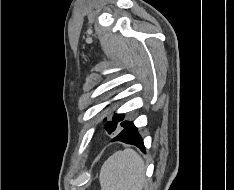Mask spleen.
<instances>
[{
    "label": "spleen",
    "mask_w": 234,
    "mask_h": 190,
    "mask_svg": "<svg viewBox=\"0 0 234 190\" xmlns=\"http://www.w3.org/2000/svg\"><path fill=\"white\" fill-rule=\"evenodd\" d=\"M145 165L133 149L114 153L100 171L102 190H142Z\"/></svg>",
    "instance_id": "1"
}]
</instances>
